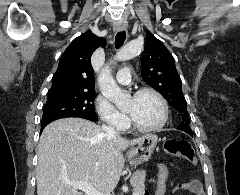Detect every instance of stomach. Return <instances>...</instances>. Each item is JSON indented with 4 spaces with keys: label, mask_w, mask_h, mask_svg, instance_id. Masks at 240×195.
<instances>
[{
    "label": "stomach",
    "mask_w": 240,
    "mask_h": 195,
    "mask_svg": "<svg viewBox=\"0 0 240 195\" xmlns=\"http://www.w3.org/2000/svg\"><path fill=\"white\" fill-rule=\"evenodd\" d=\"M157 141L158 137L155 133L141 135V141L137 143L136 147H131L128 151V161L130 165H139V163L148 161L157 145Z\"/></svg>",
    "instance_id": "0dacf381"
}]
</instances>
